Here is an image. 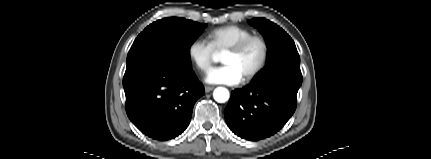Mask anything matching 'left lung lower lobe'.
Returning <instances> with one entry per match:
<instances>
[{"label":"left lung lower lobe","instance_id":"left-lung-lower-lobe-1","mask_svg":"<svg viewBox=\"0 0 431 159\" xmlns=\"http://www.w3.org/2000/svg\"><path fill=\"white\" fill-rule=\"evenodd\" d=\"M301 84L302 75L278 73L232 91L224 111L228 127L250 141L274 135L293 115Z\"/></svg>","mask_w":431,"mask_h":159}]
</instances>
